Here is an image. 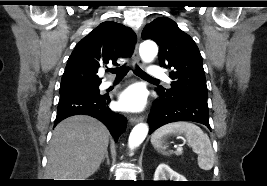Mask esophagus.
<instances>
[{"label":"esophagus","mask_w":267,"mask_h":186,"mask_svg":"<svg viewBox=\"0 0 267 186\" xmlns=\"http://www.w3.org/2000/svg\"><path fill=\"white\" fill-rule=\"evenodd\" d=\"M138 41H139V36H138ZM136 43V46H135V50H134V53H133V56H132V60L135 64H138L140 67H142L144 64L143 62L141 61L140 57H139V54H138V46H139V43ZM144 120V116H139V117H131L129 119V122L131 124H136V123H139V122H142Z\"/></svg>","instance_id":"esophagus-1"}]
</instances>
